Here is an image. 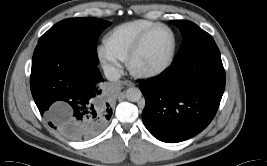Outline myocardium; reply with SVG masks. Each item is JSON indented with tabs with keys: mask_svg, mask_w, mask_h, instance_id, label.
<instances>
[{
	"mask_svg": "<svg viewBox=\"0 0 267 166\" xmlns=\"http://www.w3.org/2000/svg\"><path fill=\"white\" fill-rule=\"evenodd\" d=\"M159 28H165L167 29L172 36V48H171V52L169 57L167 58V60L160 66L152 68V69H138L135 66L134 60L136 58V56L139 54V52L141 51L143 45L145 44L147 38L157 29ZM176 48H177V38H176V34L174 32V30L163 23H157L156 25H154L153 27L149 28L146 32H144L141 37L137 40V42L134 44V46L131 48L130 52L127 55L126 58V63H127V67L128 69L140 76V77H153L156 76L162 72H164L172 63L175 53H176Z\"/></svg>",
	"mask_w": 267,
	"mask_h": 166,
	"instance_id": "f54148a6",
	"label": "myocardium"
}]
</instances>
